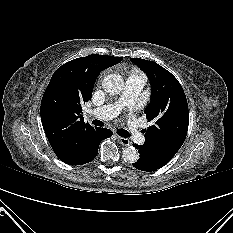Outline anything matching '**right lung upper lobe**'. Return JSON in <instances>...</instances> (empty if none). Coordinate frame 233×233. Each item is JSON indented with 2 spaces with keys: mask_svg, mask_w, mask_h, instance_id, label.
I'll list each match as a JSON object with an SVG mask.
<instances>
[{
  "mask_svg": "<svg viewBox=\"0 0 233 233\" xmlns=\"http://www.w3.org/2000/svg\"><path fill=\"white\" fill-rule=\"evenodd\" d=\"M123 58L92 54L63 64L53 74L42 98L40 114L45 134L59 159L72 155L94 129L80 115L91 99L99 73Z\"/></svg>",
  "mask_w": 233,
  "mask_h": 233,
  "instance_id": "cb5924a9",
  "label": "right lung upper lobe"
}]
</instances>
